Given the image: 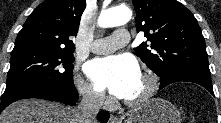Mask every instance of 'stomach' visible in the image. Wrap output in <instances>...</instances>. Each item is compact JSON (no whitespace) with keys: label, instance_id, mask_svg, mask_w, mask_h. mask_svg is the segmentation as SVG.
<instances>
[{"label":"stomach","instance_id":"1","mask_svg":"<svg viewBox=\"0 0 221 123\" xmlns=\"http://www.w3.org/2000/svg\"><path fill=\"white\" fill-rule=\"evenodd\" d=\"M176 107L162 98H152L134 108L124 123H181Z\"/></svg>","mask_w":221,"mask_h":123}]
</instances>
